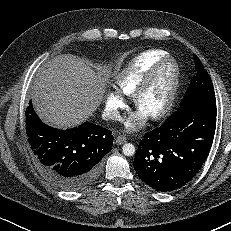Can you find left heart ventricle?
<instances>
[{
    "label": "left heart ventricle",
    "instance_id": "1",
    "mask_svg": "<svg viewBox=\"0 0 231 231\" xmlns=\"http://www.w3.org/2000/svg\"><path fill=\"white\" fill-rule=\"evenodd\" d=\"M172 66L165 65L158 73L155 82L143 96L140 104V112L146 116L155 114L164 105L172 79Z\"/></svg>",
    "mask_w": 231,
    "mask_h": 231
}]
</instances>
